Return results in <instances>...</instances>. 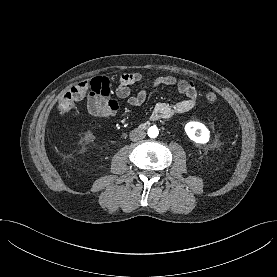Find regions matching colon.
Listing matches in <instances>:
<instances>
[{"label": "colon", "instance_id": "5ec220e1", "mask_svg": "<svg viewBox=\"0 0 277 277\" xmlns=\"http://www.w3.org/2000/svg\"><path fill=\"white\" fill-rule=\"evenodd\" d=\"M88 90V83L82 82L70 88L58 101L57 109L62 115L71 113L76 107V101L80 100ZM205 100L209 104H215L218 100L217 94L208 90L205 93Z\"/></svg>", "mask_w": 277, "mask_h": 277}]
</instances>
